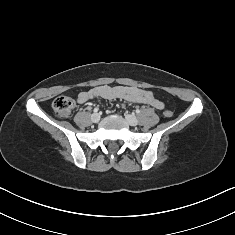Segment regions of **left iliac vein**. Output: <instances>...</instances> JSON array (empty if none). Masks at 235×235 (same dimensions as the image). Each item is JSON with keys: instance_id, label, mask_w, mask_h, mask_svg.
<instances>
[{"instance_id": "1", "label": "left iliac vein", "mask_w": 235, "mask_h": 235, "mask_svg": "<svg viewBox=\"0 0 235 235\" xmlns=\"http://www.w3.org/2000/svg\"><path fill=\"white\" fill-rule=\"evenodd\" d=\"M125 118H126V121L128 122V124L131 126H136L138 124V120L134 115L126 114Z\"/></svg>"}]
</instances>
